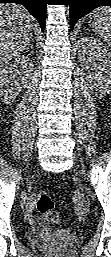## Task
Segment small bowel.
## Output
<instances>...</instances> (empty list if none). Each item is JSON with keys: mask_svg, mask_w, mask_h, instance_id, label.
<instances>
[{"mask_svg": "<svg viewBox=\"0 0 111 257\" xmlns=\"http://www.w3.org/2000/svg\"><path fill=\"white\" fill-rule=\"evenodd\" d=\"M33 210H34V202L31 201V202L28 204V207H27V212H28V214H29L31 220L34 219Z\"/></svg>", "mask_w": 111, "mask_h": 257, "instance_id": "small-bowel-1", "label": "small bowel"}]
</instances>
